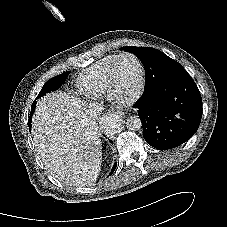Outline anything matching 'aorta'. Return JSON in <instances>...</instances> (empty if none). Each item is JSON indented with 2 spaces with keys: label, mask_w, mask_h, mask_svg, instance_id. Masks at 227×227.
<instances>
[{
  "label": "aorta",
  "mask_w": 227,
  "mask_h": 227,
  "mask_svg": "<svg viewBox=\"0 0 227 227\" xmlns=\"http://www.w3.org/2000/svg\"><path fill=\"white\" fill-rule=\"evenodd\" d=\"M121 125V120L118 115L111 114L104 120V128L107 133H117ZM126 127L128 130L137 131L141 129L142 123L138 116H130L126 120Z\"/></svg>",
  "instance_id": "obj_1"
}]
</instances>
